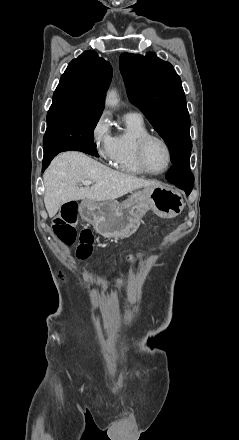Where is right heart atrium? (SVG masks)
I'll list each match as a JSON object with an SVG mask.
<instances>
[{"mask_svg": "<svg viewBox=\"0 0 239 440\" xmlns=\"http://www.w3.org/2000/svg\"><path fill=\"white\" fill-rule=\"evenodd\" d=\"M89 140L97 155L110 160L114 152V136L111 133L106 113H101L89 129Z\"/></svg>", "mask_w": 239, "mask_h": 440, "instance_id": "right-heart-atrium-1", "label": "right heart atrium"}]
</instances>
